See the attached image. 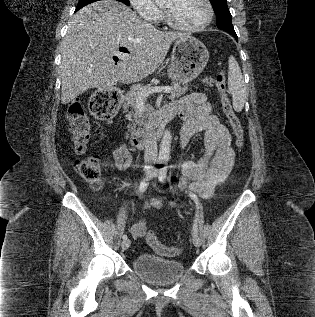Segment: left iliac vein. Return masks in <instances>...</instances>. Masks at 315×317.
Masks as SVG:
<instances>
[{
  "label": "left iliac vein",
  "mask_w": 315,
  "mask_h": 317,
  "mask_svg": "<svg viewBox=\"0 0 315 317\" xmlns=\"http://www.w3.org/2000/svg\"><path fill=\"white\" fill-rule=\"evenodd\" d=\"M154 177H156V174H154ZM192 241H193V244L196 246V247H199L201 245V239L200 237L197 235V234H193V238H192Z\"/></svg>",
  "instance_id": "1"
}]
</instances>
